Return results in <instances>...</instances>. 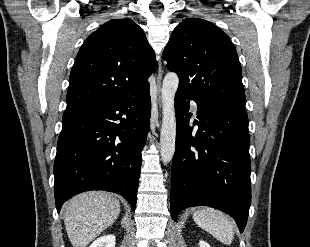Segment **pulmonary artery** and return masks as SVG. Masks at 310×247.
I'll return each instance as SVG.
<instances>
[{"mask_svg":"<svg viewBox=\"0 0 310 247\" xmlns=\"http://www.w3.org/2000/svg\"><path fill=\"white\" fill-rule=\"evenodd\" d=\"M190 105H191V107H192L193 111L196 113V111H197V107H196V103H195V101L191 100V101H190Z\"/></svg>","mask_w":310,"mask_h":247,"instance_id":"obj_1","label":"pulmonary artery"}]
</instances>
